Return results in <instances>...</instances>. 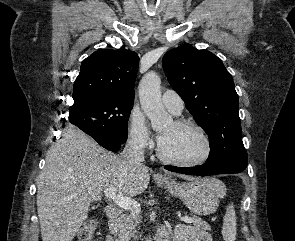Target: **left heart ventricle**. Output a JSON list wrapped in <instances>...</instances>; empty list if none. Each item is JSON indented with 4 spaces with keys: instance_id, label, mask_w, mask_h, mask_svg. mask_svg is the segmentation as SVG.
<instances>
[{
    "instance_id": "left-heart-ventricle-1",
    "label": "left heart ventricle",
    "mask_w": 295,
    "mask_h": 241,
    "mask_svg": "<svg viewBox=\"0 0 295 241\" xmlns=\"http://www.w3.org/2000/svg\"><path fill=\"white\" fill-rule=\"evenodd\" d=\"M163 152L174 159L192 161L204 153V142L192 128H181L171 123L160 130Z\"/></svg>"
}]
</instances>
